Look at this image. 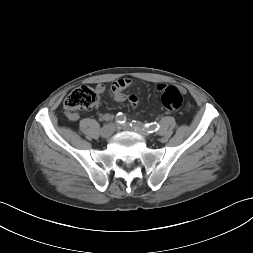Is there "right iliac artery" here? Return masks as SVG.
<instances>
[{
	"label": "right iliac artery",
	"mask_w": 253,
	"mask_h": 253,
	"mask_svg": "<svg viewBox=\"0 0 253 253\" xmlns=\"http://www.w3.org/2000/svg\"><path fill=\"white\" fill-rule=\"evenodd\" d=\"M126 119V116L121 112H119L115 118L118 125H124L126 123Z\"/></svg>",
	"instance_id": "right-iliac-artery-1"
}]
</instances>
